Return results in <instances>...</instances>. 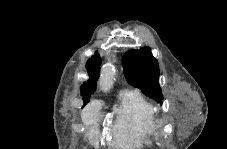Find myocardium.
I'll list each match as a JSON object with an SVG mask.
<instances>
[{
	"mask_svg": "<svg viewBox=\"0 0 227 149\" xmlns=\"http://www.w3.org/2000/svg\"><path fill=\"white\" fill-rule=\"evenodd\" d=\"M162 124H163V121H159V120L156 121V127L157 128L161 127Z\"/></svg>",
	"mask_w": 227,
	"mask_h": 149,
	"instance_id": "1",
	"label": "myocardium"
}]
</instances>
